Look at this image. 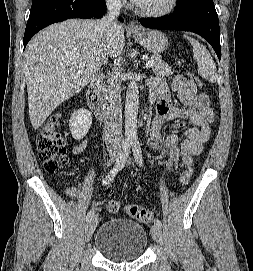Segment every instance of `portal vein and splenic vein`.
Masks as SVG:
<instances>
[{
    "mask_svg": "<svg viewBox=\"0 0 253 271\" xmlns=\"http://www.w3.org/2000/svg\"><path fill=\"white\" fill-rule=\"evenodd\" d=\"M153 65H155V63L152 61L146 62V68H151ZM79 67H83V65L79 64Z\"/></svg>",
    "mask_w": 253,
    "mask_h": 271,
    "instance_id": "18ae733b",
    "label": "portal vein and splenic vein"
}]
</instances>
